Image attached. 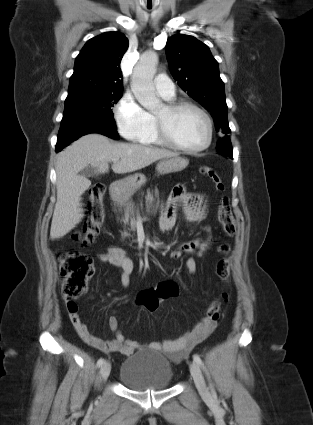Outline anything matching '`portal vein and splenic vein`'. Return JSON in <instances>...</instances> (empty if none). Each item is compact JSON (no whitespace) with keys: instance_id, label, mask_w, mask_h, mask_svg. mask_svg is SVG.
<instances>
[{"instance_id":"portal-vein-and-splenic-vein-1","label":"portal vein and splenic vein","mask_w":313,"mask_h":425,"mask_svg":"<svg viewBox=\"0 0 313 425\" xmlns=\"http://www.w3.org/2000/svg\"><path fill=\"white\" fill-rule=\"evenodd\" d=\"M112 161H113V163H115V162H117L118 160H117V159H113Z\"/></svg>"}]
</instances>
